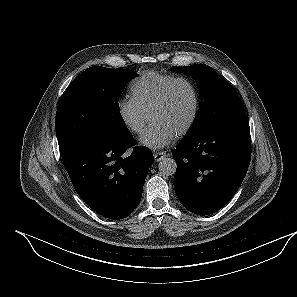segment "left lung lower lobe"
I'll return each instance as SVG.
<instances>
[{
  "mask_svg": "<svg viewBox=\"0 0 297 297\" xmlns=\"http://www.w3.org/2000/svg\"><path fill=\"white\" fill-rule=\"evenodd\" d=\"M245 112L187 135L173 150L174 188L192 213L209 215L225 206L240 187L251 158Z\"/></svg>",
  "mask_w": 297,
  "mask_h": 297,
  "instance_id": "left-lung-lower-lobe-1",
  "label": "left lung lower lobe"
}]
</instances>
